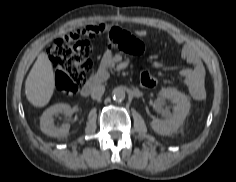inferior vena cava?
<instances>
[{
  "label": "inferior vena cava",
  "mask_w": 236,
  "mask_h": 182,
  "mask_svg": "<svg viewBox=\"0 0 236 182\" xmlns=\"http://www.w3.org/2000/svg\"><path fill=\"white\" fill-rule=\"evenodd\" d=\"M105 86L102 84H96L92 87L91 97L93 99H99L104 94Z\"/></svg>",
  "instance_id": "obj_1"
}]
</instances>
